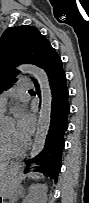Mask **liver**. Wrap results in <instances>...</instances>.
<instances>
[{
    "mask_svg": "<svg viewBox=\"0 0 89 203\" xmlns=\"http://www.w3.org/2000/svg\"><path fill=\"white\" fill-rule=\"evenodd\" d=\"M6 168H7V164H1L0 165V174H1V176L4 175V173L6 171Z\"/></svg>",
    "mask_w": 89,
    "mask_h": 203,
    "instance_id": "liver-1",
    "label": "liver"
}]
</instances>
